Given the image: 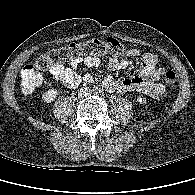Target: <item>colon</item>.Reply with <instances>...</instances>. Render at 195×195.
I'll return each instance as SVG.
<instances>
[{
    "label": "colon",
    "instance_id": "5ec220e1",
    "mask_svg": "<svg viewBox=\"0 0 195 195\" xmlns=\"http://www.w3.org/2000/svg\"><path fill=\"white\" fill-rule=\"evenodd\" d=\"M112 54L119 57H128L126 49L116 38L108 37L105 40L93 39L84 43H75L51 50L39 56L33 63L27 64L21 70V88L25 93H31L43 82L41 70H47L54 65L69 61L80 55L95 56ZM164 81L168 86H174L176 75L173 71L164 73Z\"/></svg>",
    "mask_w": 195,
    "mask_h": 195
}]
</instances>
